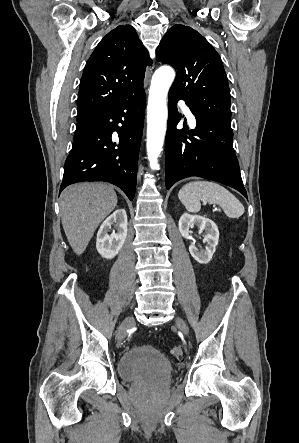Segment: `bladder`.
Segmentation results:
<instances>
[{"label":"bladder","mask_w":299,"mask_h":443,"mask_svg":"<svg viewBox=\"0 0 299 443\" xmlns=\"http://www.w3.org/2000/svg\"><path fill=\"white\" fill-rule=\"evenodd\" d=\"M173 368L156 348L138 345L125 352L118 361V373L130 382L162 383L172 377Z\"/></svg>","instance_id":"1"}]
</instances>
